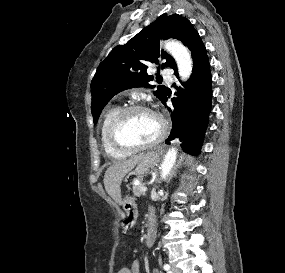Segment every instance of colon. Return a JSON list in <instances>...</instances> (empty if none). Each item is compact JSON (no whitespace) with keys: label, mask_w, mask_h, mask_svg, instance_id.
Masks as SVG:
<instances>
[{"label":"colon","mask_w":285,"mask_h":273,"mask_svg":"<svg viewBox=\"0 0 285 273\" xmlns=\"http://www.w3.org/2000/svg\"><path fill=\"white\" fill-rule=\"evenodd\" d=\"M125 272H126L125 268H124V267H122V268H120V269L118 270V272H117V273H125Z\"/></svg>","instance_id":"5ec220e1"}]
</instances>
